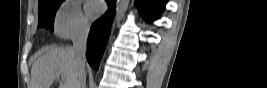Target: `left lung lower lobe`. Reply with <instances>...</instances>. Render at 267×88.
Segmentation results:
<instances>
[{
  "label": "left lung lower lobe",
  "mask_w": 267,
  "mask_h": 88,
  "mask_svg": "<svg viewBox=\"0 0 267 88\" xmlns=\"http://www.w3.org/2000/svg\"><path fill=\"white\" fill-rule=\"evenodd\" d=\"M166 0H136L142 16L149 21H153L164 10Z\"/></svg>",
  "instance_id": "1"
}]
</instances>
